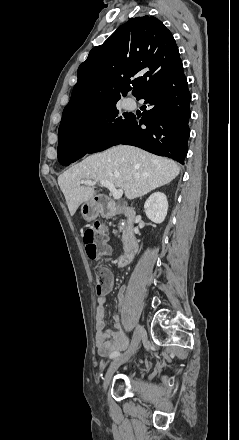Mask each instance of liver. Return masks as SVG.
Returning a JSON list of instances; mask_svg holds the SVG:
<instances>
[{"label": "liver", "mask_w": 239, "mask_h": 440, "mask_svg": "<svg viewBox=\"0 0 239 440\" xmlns=\"http://www.w3.org/2000/svg\"><path fill=\"white\" fill-rule=\"evenodd\" d=\"M180 168L173 160L159 158L133 146H114L110 150L88 156L80 164L61 174L58 184L65 196L70 216L83 202L95 198L91 186H80L81 180L111 182L124 190L128 200L141 198L148 192L165 186L178 176Z\"/></svg>", "instance_id": "obj_1"}]
</instances>
